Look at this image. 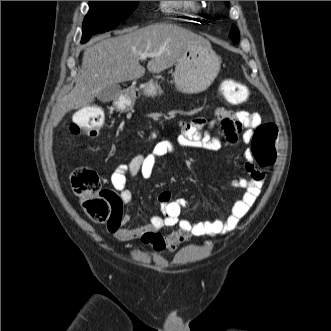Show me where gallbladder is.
Listing matches in <instances>:
<instances>
[{"label":"gallbladder","mask_w":331,"mask_h":331,"mask_svg":"<svg viewBox=\"0 0 331 331\" xmlns=\"http://www.w3.org/2000/svg\"><path fill=\"white\" fill-rule=\"evenodd\" d=\"M122 91L118 84H111L103 88L97 95V98L102 102H110L117 99Z\"/></svg>","instance_id":"obj_1"}]
</instances>
